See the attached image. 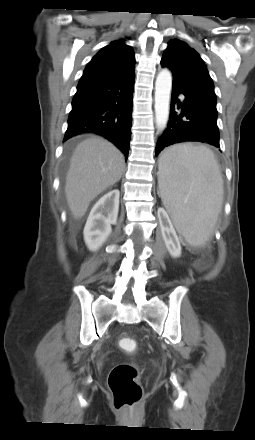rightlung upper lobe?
Instances as JSON below:
<instances>
[{"instance_id": "obj_1", "label": "right lung upper lobe", "mask_w": 255, "mask_h": 440, "mask_svg": "<svg viewBox=\"0 0 255 440\" xmlns=\"http://www.w3.org/2000/svg\"><path fill=\"white\" fill-rule=\"evenodd\" d=\"M135 67L134 53L122 40L102 48L88 63L77 88L109 80Z\"/></svg>"}]
</instances>
